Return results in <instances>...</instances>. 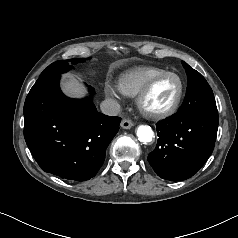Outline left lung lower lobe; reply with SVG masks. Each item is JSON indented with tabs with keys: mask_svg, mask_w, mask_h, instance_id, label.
Segmentation results:
<instances>
[{
	"mask_svg": "<svg viewBox=\"0 0 238 238\" xmlns=\"http://www.w3.org/2000/svg\"><path fill=\"white\" fill-rule=\"evenodd\" d=\"M217 108L191 115L176 114L156 124L159 136L148 161L163 179L180 181L192 177L210 157L218 129Z\"/></svg>",
	"mask_w": 238,
	"mask_h": 238,
	"instance_id": "obj_1",
	"label": "left lung lower lobe"
}]
</instances>
